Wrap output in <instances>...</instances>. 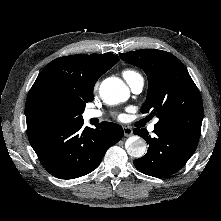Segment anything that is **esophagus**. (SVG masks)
Returning a JSON list of instances; mask_svg holds the SVG:
<instances>
[{
    "label": "esophagus",
    "instance_id": "esophagus-1",
    "mask_svg": "<svg viewBox=\"0 0 221 221\" xmlns=\"http://www.w3.org/2000/svg\"><path fill=\"white\" fill-rule=\"evenodd\" d=\"M123 132L126 137H129L133 134L132 128L128 126L123 128Z\"/></svg>",
    "mask_w": 221,
    "mask_h": 221
}]
</instances>
